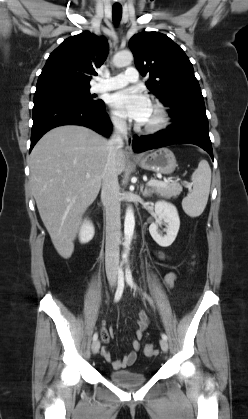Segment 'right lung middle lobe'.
Segmentation results:
<instances>
[{"mask_svg":"<svg viewBox=\"0 0 248 419\" xmlns=\"http://www.w3.org/2000/svg\"><path fill=\"white\" fill-rule=\"evenodd\" d=\"M55 99L77 101L96 108L102 107L104 105L102 100H97L92 95H90L89 88L58 89L35 93L34 95V103Z\"/></svg>","mask_w":248,"mask_h":419,"instance_id":"1","label":"right lung middle lobe"}]
</instances>
